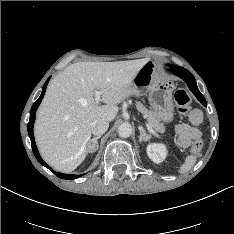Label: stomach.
<instances>
[{
	"label": "stomach",
	"instance_id": "obj_1",
	"mask_svg": "<svg viewBox=\"0 0 234 234\" xmlns=\"http://www.w3.org/2000/svg\"><path fill=\"white\" fill-rule=\"evenodd\" d=\"M133 94L143 96L148 94L151 107L160 120L169 123L173 118V91L175 84L172 80L161 77L157 66L149 61L137 73L132 81Z\"/></svg>",
	"mask_w": 234,
	"mask_h": 234
}]
</instances>
